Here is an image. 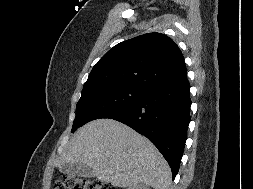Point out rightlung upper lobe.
Listing matches in <instances>:
<instances>
[{
	"instance_id": "obj_1",
	"label": "right lung upper lobe",
	"mask_w": 253,
	"mask_h": 189,
	"mask_svg": "<svg viewBox=\"0 0 253 189\" xmlns=\"http://www.w3.org/2000/svg\"><path fill=\"white\" fill-rule=\"evenodd\" d=\"M187 78L177 44L161 33H147L111 48L93 67L82 93L108 86L141 90Z\"/></svg>"
}]
</instances>
